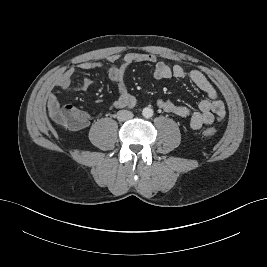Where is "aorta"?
<instances>
[{"mask_svg":"<svg viewBox=\"0 0 267 267\" xmlns=\"http://www.w3.org/2000/svg\"><path fill=\"white\" fill-rule=\"evenodd\" d=\"M142 115L145 118H150V117L153 116V110L151 108H149V107H146V108L143 109Z\"/></svg>","mask_w":267,"mask_h":267,"instance_id":"obj_1","label":"aorta"}]
</instances>
